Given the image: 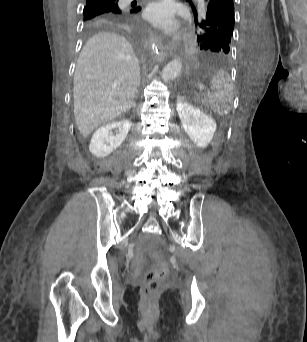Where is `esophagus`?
<instances>
[{
    "instance_id": "obj_1",
    "label": "esophagus",
    "mask_w": 307,
    "mask_h": 342,
    "mask_svg": "<svg viewBox=\"0 0 307 342\" xmlns=\"http://www.w3.org/2000/svg\"><path fill=\"white\" fill-rule=\"evenodd\" d=\"M155 44L161 50V52L164 54V56H171L172 55L171 47L169 45H164L160 36L155 37Z\"/></svg>"
}]
</instances>
